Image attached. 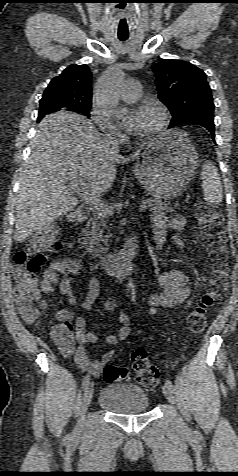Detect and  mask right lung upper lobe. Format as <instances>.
Segmentation results:
<instances>
[{
  "label": "right lung upper lobe",
  "instance_id": "right-lung-upper-lobe-1",
  "mask_svg": "<svg viewBox=\"0 0 238 476\" xmlns=\"http://www.w3.org/2000/svg\"><path fill=\"white\" fill-rule=\"evenodd\" d=\"M91 77L87 65H71L51 80L40 102L54 103L62 110L75 112L91 108Z\"/></svg>",
  "mask_w": 238,
  "mask_h": 476
}]
</instances>
